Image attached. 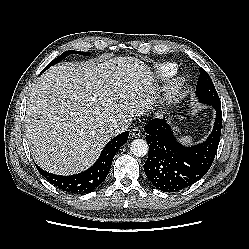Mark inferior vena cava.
Returning <instances> with one entry per match:
<instances>
[{"label": "inferior vena cava", "mask_w": 249, "mask_h": 249, "mask_svg": "<svg viewBox=\"0 0 249 249\" xmlns=\"http://www.w3.org/2000/svg\"><path fill=\"white\" fill-rule=\"evenodd\" d=\"M130 120L129 119H121L118 122L114 123L110 127V131L112 135H118L124 131H126L130 125Z\"/></svg>", "instance_id": "1"}]
</instances>
